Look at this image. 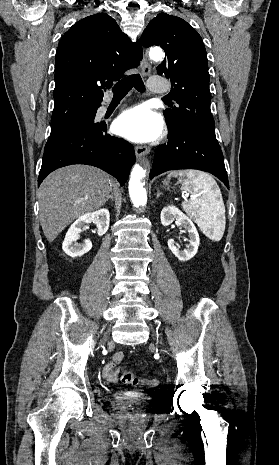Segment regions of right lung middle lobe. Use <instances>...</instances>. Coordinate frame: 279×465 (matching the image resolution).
<instances>
[{
    "mask_svg": "<svg viewBox=\"0 0 279 465\" xmlns=\"http://www.w3.org/2000/svg\"><path fill=\"white\" fill-rule=\"evenodd\" d=\"M94 118V113L88 111L67 122L51 126V133L46 143L44 153L52 150L70 135L83 130L88 123L96 124Z\"/></svg>",
    "mask_w": 279,
    "mask_h": 465,
    "instance_id": "1",
    "label": "right lung middle lobe"
}]
</instances>
